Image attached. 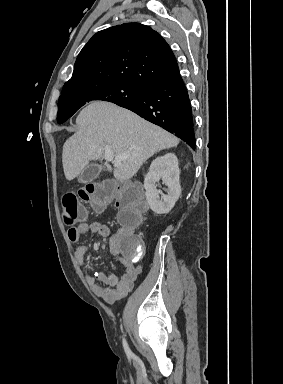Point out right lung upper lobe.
I'll list each match as a JSON object with an SVG mask.
<instances>
[{
    "label": "right lung upper lobe",
    "instance_id": "1",
    "mask_svg": "<svg viewBox=\"0 0 283 384\" xmlns=\"http://www.w3.org/2000/svg\"><path fill=\"white\" fill-rule=\"evenodd\" d=\"M178 72L170 46L156 31L126 23L102 30L88 41L63 88L123 81L146 89Z\"/></svg>",
    "mask_w": 283,
    "mask_h": 384
}]
</instances>
